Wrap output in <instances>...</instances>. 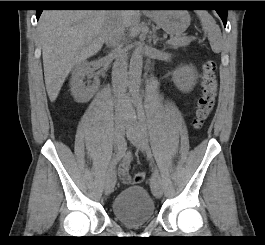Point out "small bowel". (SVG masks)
<instances>
[{
    "mask_svg": "<svg viewBox=\"0 0 265 245\" xmlns=\"http://www.w3.org/2000/svg\"><path fill=\"white\" fill-rule=\"evenodd\" d=\"M123 156L124 159L118 167V174L123 182L128 183L130 181L129 167H130L131 158L128 152H123Z\"/></svg>",
    "mask_w": 265,
    "mask_h": 245,
    "instance_id": "small-bowel-1",
    "label": "small bowel"
}]
</instances>
